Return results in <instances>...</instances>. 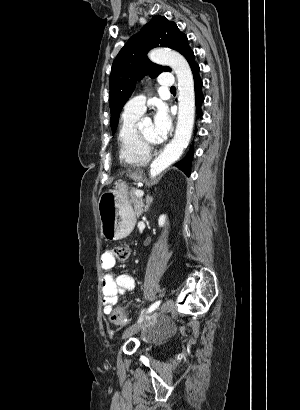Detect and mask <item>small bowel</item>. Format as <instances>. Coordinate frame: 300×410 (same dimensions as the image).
Instances as JSON below:
<instances>
[{
  "label": "small bowel",
  "instance_id": "1",
  "mask_svg": "<svg viewBox=\"0 0 300 410\" xmlns=\"http://www.w3.org/2000/svg\"><path fill=\"white\" fill-rule=\"evenodd\" d=\"M115 258L110 251H105L100 256L101 268L104 271L101 288L103 294V311L108 314L111 307L120 297L135 288V279L131 274L120 273L114 275L112 269L115 266Z\"/></svg>",
  "mask_w": 300,
  "mask_h": 410
}]
</instances>
